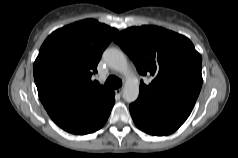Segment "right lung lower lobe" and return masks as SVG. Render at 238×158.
I'll use <instances>...</instances> for the list:
<instances>
[{
  "label": "right lung lower lobe",
  "instance_id": "obj_1",
  "mask_svg": "<svg viewBox=\"0 0 238 158\" xmlns=\"http://www.w3.org/2000/svg\"><path fill=\"white\" fill-rule=\"evenodd\" d=\"M115 103L114 91L106 98L57 100L44 103L51 119L63 130L83 135L100 129Z\"/></svg>",
  "mask_w": 238,
  "mask_h": 158
}]
</instances>
